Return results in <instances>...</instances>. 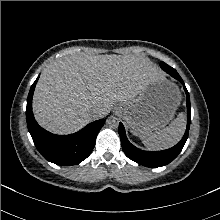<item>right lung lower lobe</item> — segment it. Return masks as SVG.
Listing matches in <instances>:
<instances>
[{"instance_id":"right-lung-lower-lobe-1","label":"right lung lower lobe","mask_w":220,"mask_h":220,"mask_svg":"<svg viewBox=\"0 0 220 220\" xmlns=\"http://www.w3.org/2000/svg\"><path fill=\"white\" fill-rule=\"evenodd\" d=\"M38 78L30 88L26 108L27 126L34 144L41 155L52 163L63 166L79 164L91 154L96 136L105 120L92 122L70 135H55L44 130L35 121L32 112V96Z\"/></svg>"}]
</instances>
